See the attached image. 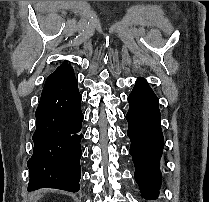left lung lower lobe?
<instances>
[{
  "label": "left lung lower lobe",
  "instance_id": "1",
  "mask_svg": "<svg viewBox=\"0 0 209 202\" xmlns=\"http://www.w3.org/2000/svg\"><path fill=\"white\" fill-rule=\"evenodd\" d=\"M128 137L135 179L144 198H156L161 186L160 158L164 148L158 99L145 79L139 78L128 97Z\"/></svg>",
  "mask_w": 209,
  "mask_h": 202
}]
</instances>
